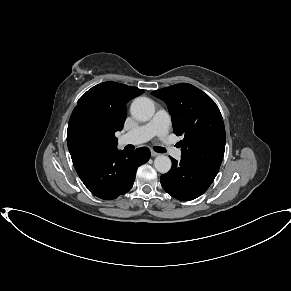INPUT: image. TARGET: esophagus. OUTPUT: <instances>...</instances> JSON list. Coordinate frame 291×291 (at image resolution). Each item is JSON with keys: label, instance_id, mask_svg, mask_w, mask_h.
Segmentation results:
<instances>
[{"label": "esophagus", "instance_id": "1", "mask_svg": "<svg viewBox=\"0 0 291 291\" xmlns=\"http://www.w3.org/2000/svg\"><path fill=\"white\" fill-rule=\"evenodd\" d=\"M158 155H159V153H157V152L151 150V156H152V157H156V156H158Z\"/></svg>", "mask_w": 291, "mask_h": 291}]
</instances>
